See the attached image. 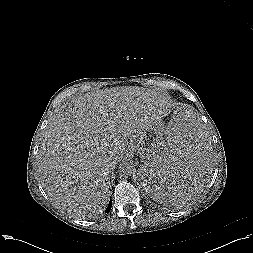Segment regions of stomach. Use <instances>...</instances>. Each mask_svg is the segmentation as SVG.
<instances>
[{"label": "stomach", "instance_id": "1", "mask_svg": "<svg viewBox=\"0 0 253 253\" xmlns=\"http://www.w3.org/2000/svg\"><path fill=\"white\" fill-rule=\"evenodd\" d=\"M167 134L168 128L164 126L162 121L154 122L144 134L130 143L129 150L137 153L145 164L158 141Z\"/></svg>", "mask_w": 253, "mask_h": 253}]
</instances>
